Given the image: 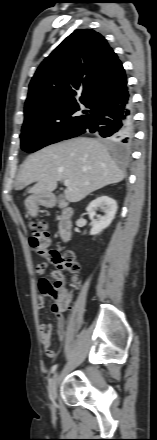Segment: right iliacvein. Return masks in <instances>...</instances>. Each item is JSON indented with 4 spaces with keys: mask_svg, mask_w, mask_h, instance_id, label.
I'll return each instance as SVG.
<instances>
[{
    "mask_svg": "<svg viewBox=\"0 0 157 440\" xmlns=\"http://www.w3.org/2000/svg\"><path fill=\"white\" fill-rule=\"evenodd\" d=\"M58 384H59L58 373H55L50 383V397L53 403H55L57 397Z\"/></svg>",
    "mask_w": 157,
    "mask_h": 440,
    "instance_id": "1",
    "label": "right iliac vein"
}]
</instances>
